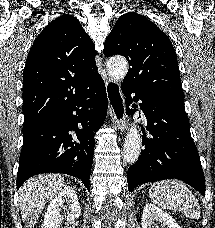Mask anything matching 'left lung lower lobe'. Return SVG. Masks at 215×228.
<instances>
[{"instance_id":"obj_1","label":"left lung lower lobe","mask_w":215,"mask_h":228,"mask_svg":"<svg viewBox=\"0 0 215 228\" xmlns=\"http://www.w3.org/2000/svg\"><path fill=\"white\" fill-rule=\"evenodd\" d=\"M126 104L132 103L131 93L121 85ZM141 109L147 118L151 138L143 136L145 149L128 170V188L164 179H180L205 196L204 174L196 146L191 138L184 99L166 96H143ZM140 117V115H139Z\"/></svg>"}]
</instances>
